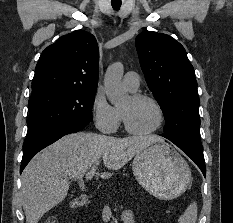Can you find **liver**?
Wrapping results in <instances>:
<instances>
[{
	"instance_id": "liver-1",
	"label": "liver",
	"mask_w": 233,
	"mask_h": 223,
	"mask_svg": "<svg viewBox=\"0 0 233 223\" xmlns=\"http://www.w3.org/2000/svg\"><path fill=\"white\" fill-rule=\"evenodd\" d=\"M154 141L164 139L152 133L111 137L79 131L48 145L34 155L21 175L20 195L26 223H38L44 213L65 199L71 183L68 179H80L101 159L107 169L101 171L100 177L109 179L114 175V169H121Z\"/></svg>"
}]
</instances>
